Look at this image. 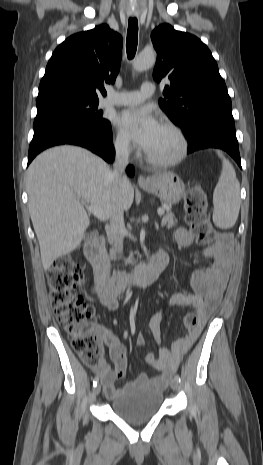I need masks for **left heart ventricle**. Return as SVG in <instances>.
I'll list each match as a JSON object with an SVG mask.
<instances>
[{
    "mask_svg": "<svg viewBox=\"0 0 263 465\" xmlns=\"http://www.w3.org/2000/svg\"><path fill=\"white\" fill-rule=\"evenodd\" d=\"M178 140L175 135L165 127H162L156 140L147 151L149 155L158 159L173 156L178 150Z\"/></svg>",
    "mask_w": 263,
    "mask_h": 465,
    "instance_id": "obj_1",
    "label": "left heart ventricle"
}]
</instances>
